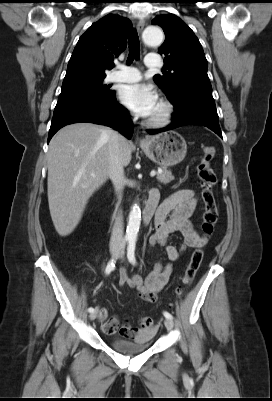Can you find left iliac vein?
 I'll return each mask as SVG.
<instances>
[{
	"instance_id": "1",
	"label": "left iliac vein",
	"mask_w": 272,
	"mask_h": 401,
	"mask_svg": "<svg viewBox=\"0 0 272 401\" xmlns=\"http://www.w3.org/2000/svg\"><path fill=\"white\" fill-rule=\"evenodd\" d=\"M123 255H124V251H121L120 254H119V256H118L119 259H123ZM164 325H165V327H166L168 330H172L173 327H174L173 321H172L171 319H168V318H166V319L164 320Z\"/></svg>"
}]
</instances>
